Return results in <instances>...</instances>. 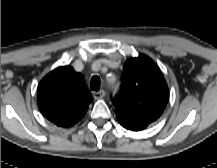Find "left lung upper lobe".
Here are the masks:
<instances>
[{
	"label": "left lung upper lobe",
	"instance_id": "5c2ea615",
	"mask_svg": "<svg viewBox=\"0 0 217 168\" xmlns=\"http://www.w3.org/2000/svg\"><path fill=\"white\" fill-rule=\"evenodd\" d=\"M168 99L167 83L151 58L140 54L126 61L121 93L113 100L117 119L124 128L146 129L162 115Z\"/></svg>",
	"mask_w": 217,
	"mask_h": 168
}]
</instances>
